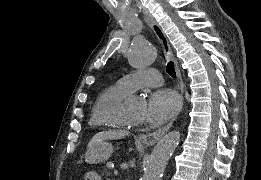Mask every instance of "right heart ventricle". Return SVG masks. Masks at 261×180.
I'll return each instance as SVG.
<instances>
[{
    "instance_id": "e07e8e85",
    "label": "right heart ventricle",
    "mask_w": 261,
    "mask_h": 180,
    "mask_svg": "<svg viewBox=\"0 0 261 180\" xmlns=\"http://www.w3.org/2000/svg\"><path fill=\"white\" fill-rule=\"evenodd\" d=\"M127 94L118 84H115L106 88L98 95L89 119L91 133H94V131H119L115 122V114L121 107H124ZM116 137L119 136H114V138Z\"/></svg>"
}]
</instances>
